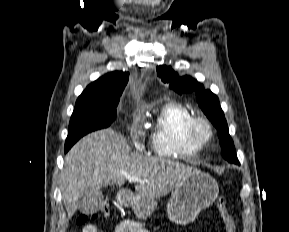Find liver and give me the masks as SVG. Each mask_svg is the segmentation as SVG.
<instances>
[{
  "label": "liver",
  "mask_w": 289,
  "mask_h": 232,
  "mask_svg": "<svg viewBox=\"0 0 289 232\" xmlns=\"http://www.w3.org/2000/svg\"><path fill=\"white\" fill-rule=\"evenodd\" d=\"M192 171V167L171 160L130 155L124 136L104 129L83 137L65 156L61 177L63 202L71 218L85 191L108 185L121 187L131 176L147 180L137 182V194L162 197L176 189Z\"/></svg>",
  "instance_id": "obj_1"
}]
</instances>
